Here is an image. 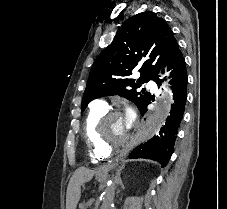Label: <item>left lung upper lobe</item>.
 <instances>
[{
    "instance_id": "obj_1",
    "label": "left lung upper lobe",
    "mask_w": 227,
    "mask_h": 209,
    "mask_svg": "<svg viewBox=\"0 0 227 209\" xmlns=\"http://www.w3.org/2000/svg\"><path fill=\"white\" fill-rule=\"evenodd\" d=\"M179 51L172 30L156 13L145 11L128 18L92 65L82 112L93 99L115 94L135 103L141 112L151 96L136 89L149 80L157 83ZM136 67H140V79H127Z\"/></svg>"
}]
</instances>
